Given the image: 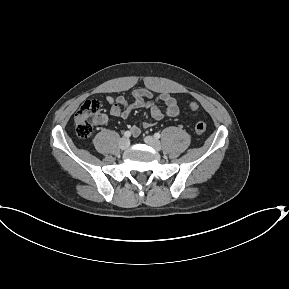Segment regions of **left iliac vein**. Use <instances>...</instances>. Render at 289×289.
Listing matches in <instances>:
<instances>
[{"label":"left iliac vein","instance_id":"1","mask_svg":"<svg viewBox=\"0 0 289 289\" xmlns=\"http://www.w3.org/2000/svg\"><path fill=\"white\" fill-rule=\"evenodd\" d=\"M144 141L146 144H148L149 146H151L152 148H154L157 151H159L161 149L160 141L157 140L156 138L152 137V136H146L144 138Z\"/></svg>","mask_w":289,"mask_h":289}]
</instances>
